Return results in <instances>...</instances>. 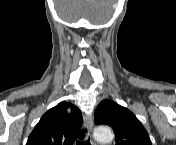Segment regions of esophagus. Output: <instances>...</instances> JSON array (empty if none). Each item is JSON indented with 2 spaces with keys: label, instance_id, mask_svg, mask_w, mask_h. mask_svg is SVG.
Returning <instances> with one entry per match:
<instances>
[{
  "label": "esophagus",
  "instance_id": "esophagus-1",
  "mask_svg": "<svg viewBox=\"0 0 176 145\" xmlns=\"http://www.w3.org/2000/svg\"><path fill=\"white\" fill-rule=\"evenodd\" d=\"M84 124L88 130V134L91 137L92 136V130H93V120L91 116L84 115ZM92 145H96L92 140Z\"/></svg>",
  "mask_w": 176,
  "mask_h": 145
}]
</instances>
